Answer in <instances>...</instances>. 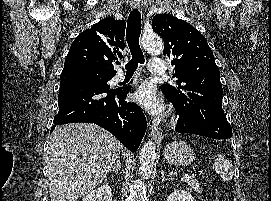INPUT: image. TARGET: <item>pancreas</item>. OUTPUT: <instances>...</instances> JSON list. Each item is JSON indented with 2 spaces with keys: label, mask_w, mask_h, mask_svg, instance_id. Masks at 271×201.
<instances>
[{
  "label": "pancreas",
  "mask_w": 271,
  "mask_h": 201,
  "mask_svg": "<svg viewBox=\"0 0 271 201\" xmlns=\"http://www.w3.org/2000/svg\"><path fill=\"white\" fill-rule=\"evenodd\" d=\"M189 186L194 189L196 192H201V188L199 187V182L193 180L189 182Z\"/></svg>",
  "instance_id": "pancreas-1"
}]
</instances>
